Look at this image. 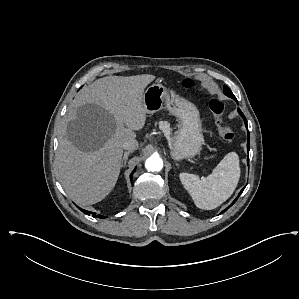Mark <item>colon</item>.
<instances>
[{
	"mask_svg": "<svg viewBox=\"0 0 299 299\" xmlns=\"http://www.w3.org/2000/svg\"><path fill=\"white\" fill-rule=\"evenodd\" d=\"M184 88H191L195 85V81L192 79H185L182 82ZM211 112L215 117V124L218 136L225 142H231L234 138V132L230 126H228L223 119L224 104L219 99H212L209 103Z\"/></svg>",
	"mask_w": 299,
	"mask_h": 299,
	"instance_id": "colon-1",
	"label": "colon"
}]
</instances>
